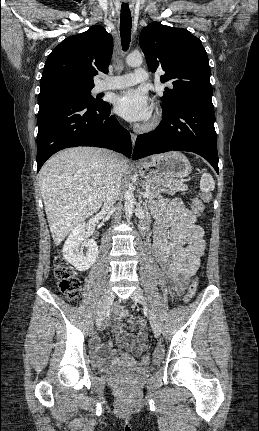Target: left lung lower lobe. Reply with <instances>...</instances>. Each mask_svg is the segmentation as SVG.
Returning a JSON list of instances; mask_svg holds the SVG:
<instances>
[{
	"label": "left lung lower lobe",
	"mask_w": 259,
	"mask_h": 431,
	"mask_svg": "<svg viewBox=\"0 0 259 431\" xmlns=\"http://www.w3.org/2000/svg\"><path fill=\"white\" fill-rule=\"evenodd\" d=\"M172 150L194 152L219 173L214 107L186 102L163 110L156 130L137 137L133 159Z\"/></svg>",
	"instance_id": "obj_1"
}]
</instances>
